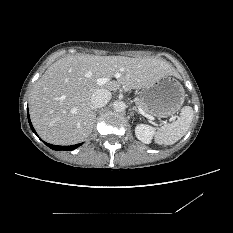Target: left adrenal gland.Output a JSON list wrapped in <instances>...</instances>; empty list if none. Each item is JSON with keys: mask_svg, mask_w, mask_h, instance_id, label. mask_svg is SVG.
Segmentation results:
<instances>
[{"mask_svg": "<svg viewBox=\"0 0 233 233\" xmlns=\"http://www.w3.org/2000/svg\"><path fill=\"white\" fill-rule=\"evenodd\" d=\"M132 110L136 111L138 114H140V112L138 111V109L136 107H132Z\"/></svg>", "mask_w": 233, "mask_h": 233, "instance_id": "a2214340", "label": "left adrenal gland"}]
</instances>
